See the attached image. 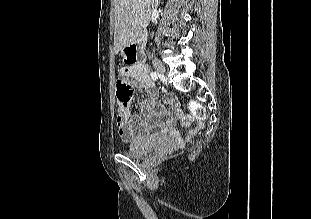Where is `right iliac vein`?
Instances as JSON below:
<instances>
[{
	"label": "right iliac vein",
	"instance_id": "1",
	"mask_svg": "<svg viewBox=\"0 0 311 219\" xmlns=\"http://www.w3.org/2000/svg\"><path fill=\"white\" fill-rule=\"evenodd\" d=\"M152 64L154 66V68L156 69V71L160 74V75H164L165 74V67L162 64L161 61H159L158 59L154 58L152 60Z\"/></svg>",
	"mask_w": 311,
	"mask_h": 219
}]
</instances>
